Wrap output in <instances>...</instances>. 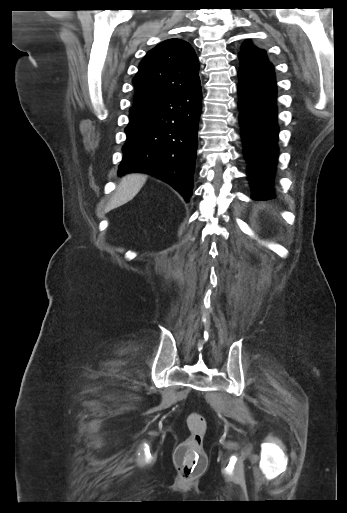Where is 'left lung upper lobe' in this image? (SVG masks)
Masks as SVG:
<instances>
[{"mask_svg": "<svg viewBox=\"0 0 347 513\" xmlns=\"http://www.w3.org/2000/svg\"><path fill=\"white\" fill-rule=\"evenodd\" d=\"M239 57L258 59L263 62H268L266 52L253 46L250 40H246L242 45V51Z\"/></svg>", "mask_w": 347, "mask_h": 513, "instance_id": "5c2ea615", "label": "left lung upper lobe"}]
</instances>
